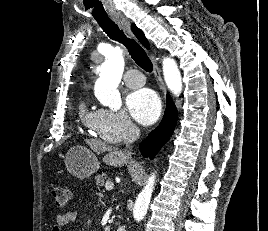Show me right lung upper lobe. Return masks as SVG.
<instances>
[{
    "mask_svg": "<svg viewBox=\"0 0 268 231\" xmlns=\"http://www.w3.org/2000/svg\"><path fill=\"white\" fill-rule=\"evenodd\" d=\"M131 29H132L133 33L135 34V36L138 38V40L143 44V46L146 47L147 49H149L148 40L146 39L142 30L137 28V26L135 24L131 25Z\"/></svg>",
    "mask_w": 268,
    "mask_h": 231,
    "instance_id": "obj_1",
    "label": "right lung upper lobe"
}]
</instances>
